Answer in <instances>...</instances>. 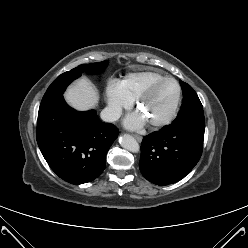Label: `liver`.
<instances>
[{"instance_id": "obj_1", "label": "liver", "mask_w": 248, "mask_h": 248, "mask_svg": "<svg viewBox=\"0 0 248 248\" xmlns=\"http://www.w3.org/2000/svg\"><path fill=\"white\" fill-rule=\"evenodd\" d=\"M64 96L67 102L78 110H88L94 107L98 100V92L87 79L75 82Z\"/></svg>"}]
</instances>
